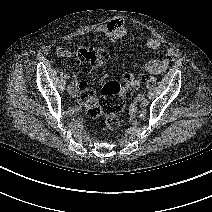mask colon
Instances as JSON below:
<instances>
[{
	"mask_svg": "<svg viewBox=\"0 0 212 212\" xmlns=\"http://www.w3.org/2000/svg\"><path fill=\"white\" fill-rule=\"evenodd\" d=\"M108 52L103 47H85L80 49L79 65L82 71H91L103 65L108 60ZM142 76L135 71L123 74L120 80H108L97 92L88 89L85 96L80 99L86 114L91 118L102 117V126L109 131L119 129L122 115L126 109L130 90L137 87Z\"/></svg>",
	"mask_w": 212,
	"mask_h": 212,
	"instance_id": "5ec220e1",
	"label": "colon"
}]
</instances>
